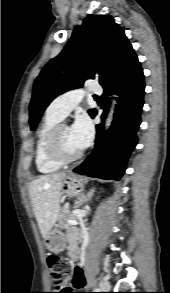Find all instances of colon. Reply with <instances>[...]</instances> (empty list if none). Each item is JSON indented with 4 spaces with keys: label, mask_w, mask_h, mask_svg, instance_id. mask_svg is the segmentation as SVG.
Here are the masks:
<instances>
[{
    "label": "colon",
    "mask_w": 170,
    "mask_h": 293,
    "mask_svg": "<svg viewBox=\"0 0 170 293\" xmlns=\"http://www.w3.org/2000/svg\"><path fill=\"white\" fill-rule=\"evenodd\" d=\"M47 261L54 285V290L50 293H72L66 282L70 273L68 264L58 256H49Z\"/></svg>",
    "instance_id": "colon-1"
}]
</instances>
